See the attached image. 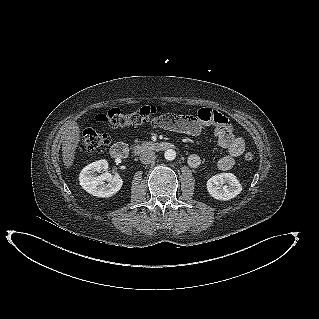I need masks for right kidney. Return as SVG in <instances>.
Masks as SVG:
<instances>
[{"instance_id": "1", "label": "right kidney", "mask_w": 319, "mask_h": 319, "mask_svg": "<svg viewBox=\"0 0 319 319\" xmlns=\"http://www.w3.org/2000/svg\"><path fill=\"white\" fill-rule=\"evenodd\" d=\"M108 168L107 160H98L85 166L79 175L81 187L97 197H111L122 187L123 180L119 175H111L105 172ZM101 173L100 175H97Z\"/></svg>"}]
</instances>
